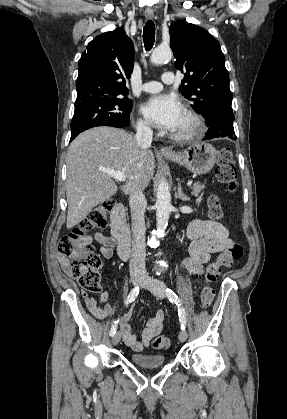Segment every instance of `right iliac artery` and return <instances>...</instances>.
<instances>
[{
    "mask_svg": "<svg viewBox=\"0 0 287 419\" xmlns=\"http://www.w3.org/2000/svg\"><path fill=\"white\" fill-rule=\"evenodd\" d=\"M139 290H140V287L139 286H136L135 288H133L131 290V292L129 293V295L127 297V300L125 302L126 305H128L129 303L133 302L136 299V297L139 294ZM117 323H118V320L115 321L114 324L112 325V327L110 329V336H113L116 333Z\"/></svg>",
    "mask_w": 287,
    "mask_h": 419,
    "instance_id": "1",
    "label": "right iliac artery"
}]
</instances>
